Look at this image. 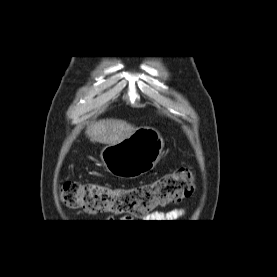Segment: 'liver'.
<instances>
[{
	"label": "liver",
	"instance_id": "6515ba94",
	"mask_svg": "<svg viewBox=\"0 0 277 277\" xmlns=\"http://www.w3.org/2000/svg\"><path fill=\"white\" fill-rule=\"evenodd\" d=\"M138 128L123 120H99L87 126L86 134L99 143L114 145L131 136Z\"/></svg>",
	"mask_w": 277,
	"mask_h": 277
}]
</instances>
